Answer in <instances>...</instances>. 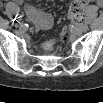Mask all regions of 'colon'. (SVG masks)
<instances>
[{"instance_id":"1","label":"colon","mask_w":103,"mask_h":103,"mask_svg":"<svg viewBox=\"0 0 103 103\" xmlns=\"http://www.w3.org/2000/svg\"><path fill=\"white\" fill-rule=\"evenodd\" d=\"M86 9V2L83 0H75L69 8V17L73 23L77 24L82 21ZM55 42L48 40L44 43L43 48L46 52L53 50Z\"/></svg>"}]
</instances>
